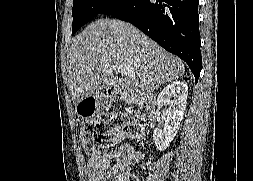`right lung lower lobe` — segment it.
<instances>
[{
    "label": "right lung lower lobe",
    "instance_id": "right-lung-lower-lobe-1",
    "mask_svg": "<svg viewBox=\"0 0 253 181\" xmlns=\"http://www.w3.org/2000/svg\"><path fill=\"white\" fill-rule=\"evenodd\" d=\"M197 8L198 0H129L110 16L132 23L183 59L197 82L202 65Z\"/></svg>",
    "mask_w": 253,
    "mask_h": 181
}]
</instances>
